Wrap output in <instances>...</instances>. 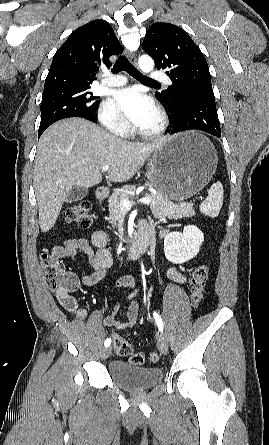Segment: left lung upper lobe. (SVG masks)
<instances>
[{
    "mask_svg": "<svg viewBox=\"0 0 269 445\" xmlns=\"http://www.w3.org/2000/svg\"><path fill=\"white\" fill-rule=\"evenodd\" d=\"M143 49L155 61L157 69H167L172 85L156 96L171 111H177L179 99L188 93H213L211 77L204 55L180 27L170 23H154L146 32Z\"/></svg>",
    "mask_w": 269,
    "mask_h": 445,
    "instance_id": "1",
    "label": "left lung upper lobe"
}]
</instances>
